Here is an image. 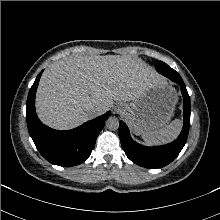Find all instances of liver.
I'll use <instances>...</instances> for the list:
<instances>
[{
    "label": "liver",
    "mask_w": 220,
    "mask_h": 220,
    "mask_svg": "<svg viewBox=\"0 0 220 220\" xmlns=\"http://www.w3.org/2000/svg\"><path fill=\"white\" fill-rule=\"evenodd\" d=\"M161 80L152 67L130 56L73 55L43 72L36 111L44 124L68 130L92 118L90 106L100 107L103 114L114 101H134Z\"/></svg>",
    "instance_id": "1"
}]
</instances>
